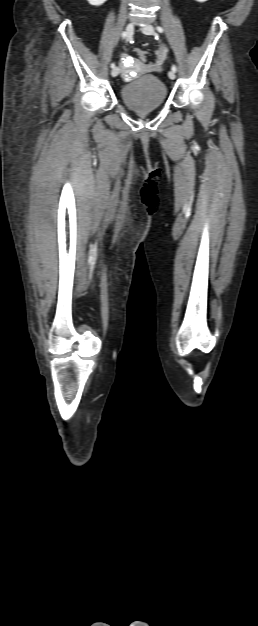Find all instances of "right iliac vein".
Returning <instances> with one entry per match:
<instances>
[{
	"label": "right iliac vein",
	"mask_w": 258,
	"mask_h": 626,
	"mask_svg": "<svg viewBox=\"0 0 258 626\" xmlns=\"http://www.w3.org/2000/svg\"><path fill=\"white\" fill-rule=\"evenodd\" d=\"M125 32H126V38L129 39L132 36L133 32H134V25H133V23H128L127 24V26L125 28ZM119 71H120L119 68L115 67L111 71V75L113 77H116L119 74Z\"/></svg>",
	"instance_id": "63e3f726"
}]
</instances>
